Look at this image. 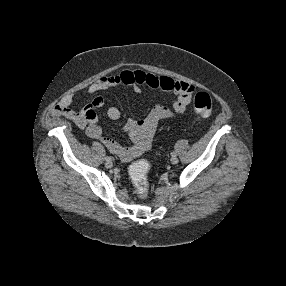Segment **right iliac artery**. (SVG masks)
I'll return each instance as SVG.
<instances>
[{"mask_svg": "<svg viewBox=\"0 0 286 286\" xmlns=\"http://www.w3.org/2000/svg\"><path fill=\"white\" fill-rule=\"evenodd\" d=\"M112 160H113V157H111V156L105 157V161H112Z\"/></svg>", "mask_w": 286, "mask_h": 286, "instance_id": "1", "label": "right iliac artery"}]
</instances>
